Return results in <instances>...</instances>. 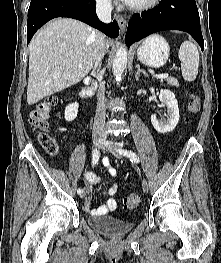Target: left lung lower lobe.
<instances>
[{"instance_id": "1", "label": "left lung lower lobe", "mask_w": 221, "mask_h": 263, "mask_svg": "<svg viewBox=\"0 0 221 263\" xmlns=\"http://www.w3.org/2000/svg\"><path fill=\"white\" fill-rule=\"evenodd\" d=\"M162 30L188 32L204 49L200 17L195 0H162L152 10L136 16L128 23L125 41L128 46Z\"/></svg>"}]
</instances>
